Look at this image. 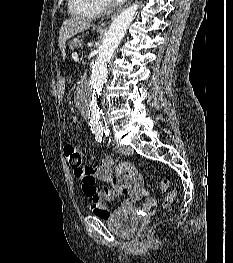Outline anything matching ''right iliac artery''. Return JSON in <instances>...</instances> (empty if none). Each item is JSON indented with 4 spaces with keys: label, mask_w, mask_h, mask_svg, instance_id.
Masks as SVG:
<instances>
[{
    "label": "right iliac artery",
    "mask_w": 233,
    "mask_h": 263,
    "mask_svg": "<svg viewBox=\"0 0 233 263\" xmlns=\"http://www.w3.org/2000/svg\"><path fill=\"white\" fill-rule=\"evenodd\" d=\"M95 139L97 142L101 143L103 141V132H96Z\"/></svg>",
    "instance_id": "right-iliac-artery-1"
}]
</instances>
